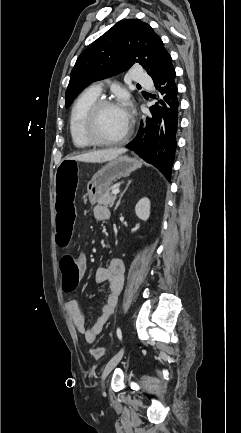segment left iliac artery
<instances>
[{
	"mask_svg": "<svg viewBox=\"0 0 241 433\" xmlns=\"http://www.w3.org/2000/svg\"><path fill=\"white\" fill-rule=\"evenodd\" d=\"M116 333H117V336H118L119 340L122 341V331H121V329L119 327L117 328Z\"/></svg>",
	"mask_w": 241,
	"mask_h": 433,
	"instance_id": "44dca946",
	"label": "left iliac artery"
}]
</instances>
